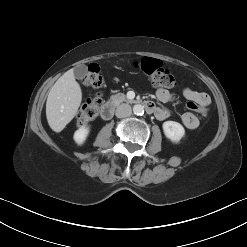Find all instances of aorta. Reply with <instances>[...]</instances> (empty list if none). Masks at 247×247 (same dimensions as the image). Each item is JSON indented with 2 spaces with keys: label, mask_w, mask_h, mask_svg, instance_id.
I'll use <instances>...</instances> for the list:
<instances>
[{
  "label": "aorta",
  "mask_w": 247,
  "mask_h": 247,
  "mask_svg": "<svg viewBox=\"0 0 247 247\" xmlns=\"http://www.w3.org/2000/svg\"><path fill=\"white\" fill-rule=\"evenodd\" d=\"M133 112L135 115H143L144 114V107L140 104H136L133 107Z\"/></svg>",
  "instance_id": "762f6f07"
}]
</instances>
